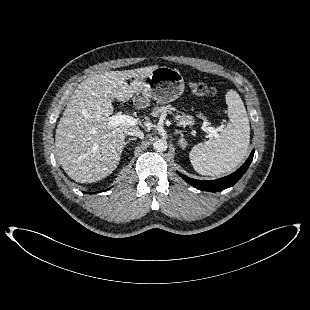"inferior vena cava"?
<instances>
[{"mask_svg": "<svg viewBox=\"0 0 310 310\" xmlns=\"http://www.w3.org/2000/svg\"><path fill=\"white\" fill-rule=\"evenodd\" d=\"M126 134H127V135H130V136H137V137H139V138H143V137H144L143 131H141V130L138 129V128L131 129V130H129Z\"/></svg>", "mask_w": 310, "mask_h": 310, "instance_id": "602c4592", "label": "inferior vena cava"}]
</instances>
